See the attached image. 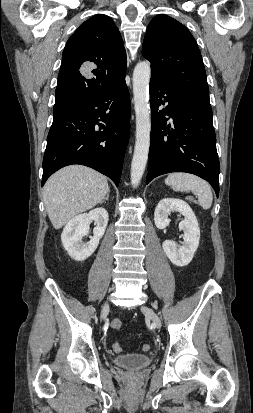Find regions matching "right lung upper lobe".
<instances>
[{"instance_id": "right-lung-upper-lobe-1", "label": "right lung upper lobe", "mask_w": 253, "mask_h": 413, "mask_svg": "<svg viewBox=\"0 0 253 413\" xmlns=\"http://www.w3.org/2000/svg\"><path fill=\"white\" fill-rule=\"evenodd\" d=\"M95 64L91 78L83 75L84 63ZM126 51L113 20L99 14L72 34L62 54L53 115L67 111L108 90L125 78Z\"/></svg>"}]
</instances>
